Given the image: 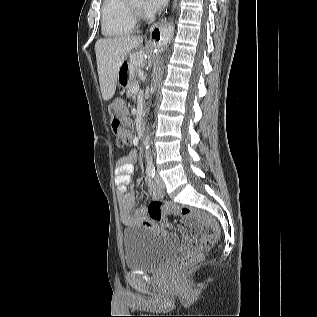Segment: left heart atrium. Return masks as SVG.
Listing matches in <instances>:
<instances>
[{"label": "left heart atrium", "instance_id": "left-heart-atrium-1", "mask_svg": "<svg viewBox=\"0 0 317 317\" xmlns=\"http://www.w3.org/2000/svg\"><path fill=\"white\" fill-rule=\"evenodd\" d=\"M166 2L167 0H145L143 8L148 15H152L161 10Z\"/></svg>", "mask_w": 317, "mask_h": 317}]
</instances>
